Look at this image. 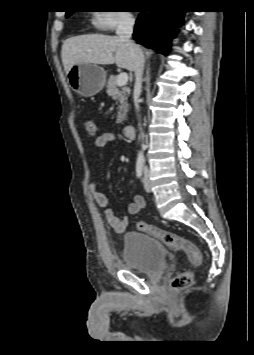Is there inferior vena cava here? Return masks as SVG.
<instances>
[{"mask_svg": "<svg viewBox=\"0 0 254 355\" xmlns=\"http://www.w3.org/2000/svg\"><path fill=\"white\" fill-rule=\"evenodd\" d=\"M134 23H135V21L132 18V16H130V15L121 16L119 19V22H118L117 29H116V34L119 37V39L121 41L125 42L130 47L131 51L133 52L134 63H135L134 73H135V78H136L134 89H135L136 96L138 98L141 93V88H142V76H143V71H144L145 59H144V55H143L141 48L131 40ZM136 109L137 110L139 109L138 101H136ZM140 130H141L140 138L143 139L144 134H143L141 128H140ZM143 148H144V145H143Z\"/></svg>", "mask_w": 254, "mask_h": 355, "instance_id": "obj_1", "label": "inferior vena cava"}]
</instances>
